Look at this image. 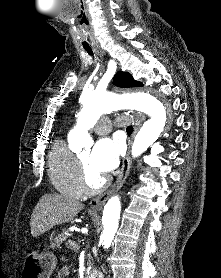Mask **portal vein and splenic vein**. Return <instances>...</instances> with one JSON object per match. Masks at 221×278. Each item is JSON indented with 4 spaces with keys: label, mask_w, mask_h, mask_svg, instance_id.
I'll list each match as a JSON object with an SVG mask.
<instances>
[{
    "label": "portal vein and splenic vein",
    "mask_w": 221,
    "mask_h": 278,
    "mask_svg": "<svg viewBox=\"0 0 221 278\" xmlns=\"http://www.w3.org/2000/svg\"><path fill=\"white\" fill-rule=\"evenodd\" d=\"M69 243H70V244H75V242H74V241H69Z\"/></svg>",
    "instance_id": "obj_1"
}]
</instances>
